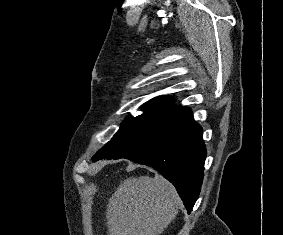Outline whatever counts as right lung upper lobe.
<instances>
[{"instance_id":"obj_1","label":"right lung upper lobe","mask_w":283,"mask_h":235,"mask_svg":"<svg viewBox=\"0 0 283 235\" xmlns=\"http://www.w3.org/2000/svg\"><path fill=\"white\" fill-rule=\"evenodd\" d=\"M168 101H169L168 99L157 97V98L152 99L149 102L150 103H165V102H168Z\"/></svg>"}]
</instances>
